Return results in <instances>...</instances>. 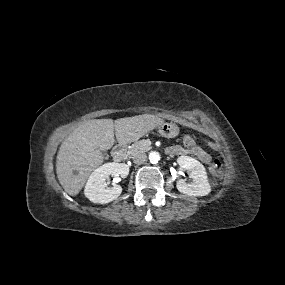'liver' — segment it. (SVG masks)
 <instances>
[{
  "label": "liver",
  "instance_id": "obj_1",
  "mask_svg": "<svg viewBox=\"0 0 285 285\" xmlns=\"http://www.w3.org/2000/svg\"><path fill=\"white\" fill-rule=\"evenodd\" d=\"M164 123L152 114L112 119H93L76 127L61 144L56 158L59 183L71 196L77 195L90 174L103 163L101 151L110 149L114 134L119 144L138 140Z\"/></svg>",
  "mask_w": 285,
  "mask_h": 285
}]
</instances>
